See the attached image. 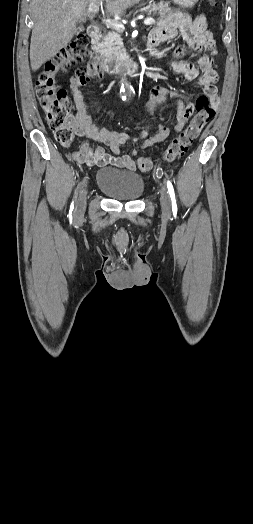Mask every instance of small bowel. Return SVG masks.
<instances>
[{
  "label": "small bowel",
  "mask_w": 253,
  "mask_h": 524,
  "mask_svg": "<svg viewBox=\"0 0 253 524\" xmlns=\"http://www.w3.org/2000/svg\"><path fill=\"white\" fill-rule=\"evenodd\" d=\"M181 35L194 50H205L214 53L215 44L212 33L206 29V18L200 15L195 19L187 16H177L170 21L157 24L149 35V53L154 55L156 48L164 43ZM186 48L178 47L172 53L173 58L188 56ZM170 68L186 80H197L198 85L203 89L204 96L209 98L213 104L218 102V73L215 69L213 59L210 55H203L198 61V67L193 64L180 60H173ZM176 101L177 123L176 131H181L190 119L193 110L192 103H186L185 98L176 91L162 86H154L149 92V99L145 105L149 118L157 119L158 108L168 97ZM76 108V128L78 136L86 137L89 141L82 144L79 151L72 152L71 158L79 164L88 166H117L131 171L137 169L134 156L144 148L152 147L156 143L163 142L169 135V128L157 122L156 130L150 134L149 127L143 128L137 136H130L127 133H120L107 128L97 126L90 114L89 108L85 103L83 93L80 96H73ZM140 144L131 153L120 155L121 146L127 142ZM93 142L107 145L114 155L106 153L103 147H95Z\"/></svg>",
  "instance_id": "obj_1"
}]
</instances>
